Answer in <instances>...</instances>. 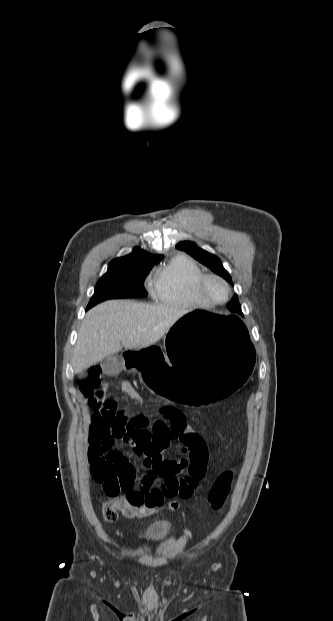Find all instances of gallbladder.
<instances>
[{
	"instance_id": "gallbladder-1",
	"label": "gallbladder",
	"mask_w": 333,
	"mask_h": 621,
	"mask_svg": "<svg viewBox=\"0 0 333 621\" xmlns=\"http://www.w3.org/2000/svg\"><path fill=\"white\" fill-rule=\"evenodd\" d=\"M86 376L87 374L84 371L78 373L79 378H85Z\"/></svg>"
}]
</instances>
